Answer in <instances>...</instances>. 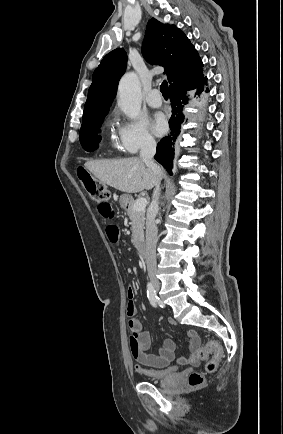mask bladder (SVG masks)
<instances>
[{"label":"bladder","instance_id":"obj_1","mask_svg":"<svg viewBox=\"0 0 283 434\" xmlns=\"http://www.w3.org/2000/svg\"><path fill=\"white\" fill-rule=\"evenodd\" d=\"M178 373L177 367H168L164 369L145 368L141 374L150 381H161L170 378Z\"/></svg>","mask_w":283,"mask_h":434}]
</instances>
